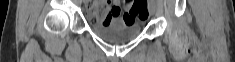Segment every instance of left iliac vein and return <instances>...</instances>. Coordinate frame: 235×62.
<instances>
[{
	"label": "left iliac vein",
	"instance_id": "left-iliac-vein-1",
	"mask_svg": "<svg viewBox=\"0 0 235 62\" xmlns=\"http://www.w3.org/2000/svg\"><path fill=\"white\" fill-rule=\"evenodd\" d=\"M155 11H156V6L154 4H150V6H149L150 15H154Z\"/></svg>",
	"mask_w": 235,
	"mask_h": 62
}]
</instances>
